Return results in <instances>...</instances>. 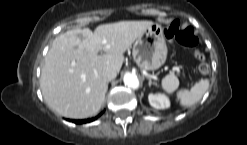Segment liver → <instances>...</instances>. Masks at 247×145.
Returning <instances> with one entry per match:
<instances>
[{"label":"liver","instance_id":"1","mask_svg":"<svg viewBox=\"0 0 247 145\" xmlns=\"http://www.w3.org/2000/svg\"><path fill=\"white\" fill-rule=\"evenodd\" d=\"M152 25V21H120L99 25L94 32L72 29L56 37L41 70L46 104L68 118L96 115L108 89L103 70L118 73L123 53Z\"/></svg>","mask_w":247,"mask_h":145}]
</instances>
